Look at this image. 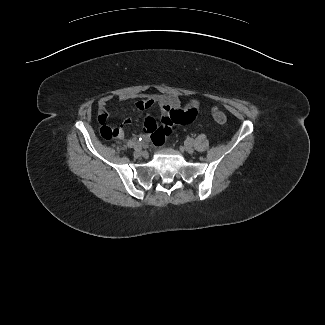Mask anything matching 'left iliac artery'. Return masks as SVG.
<instances>
[{"mask_svg":"<svg viewBox=\"0 0 325 325\" xmlns=\"http://www.w3.org/2000/svg\"><path fill=\"white\" fill-rule=\"evenodd\" d=\"M187 142H188L189 144H193L194 140H193L192 138H188V139H187Z\"/></svg>","mask_w":325,"mask_h":325,"instance_id":"obj_1","label":"left iliac artery"}]
</instances>
